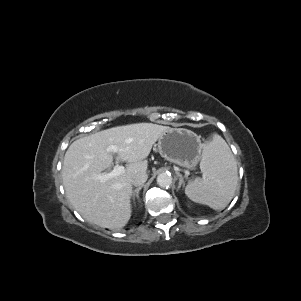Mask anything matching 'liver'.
<instances>
[{
  "instance_id": "obj_1",
  "label": "liver",
  "mask_w": 301,
  "mask_h": 301,
  "mask_svg": "<svg viewBox=\"0 0 301 301\" xmlns=\"http://www.w3.org/2000/svg\"><path fill=\"white\" fill-rule=\"evenodd\" d=\"M169 127L136 123L109 128L74 141L62 167L67 198L81 216L103 228L121 229L131 217L132 178L147 171L146 158L152 146ZM114 145L118 161H126L124 172L108 180L98 177L110 168Z\"/></svg>"
}]
</instances>
